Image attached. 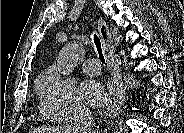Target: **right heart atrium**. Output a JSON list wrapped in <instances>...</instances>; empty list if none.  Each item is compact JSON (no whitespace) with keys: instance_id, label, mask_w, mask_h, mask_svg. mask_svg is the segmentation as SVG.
Here are the masks:
<instances>
[{"instance_id":"obj_1","label":"right heart atrium","mask_w":184,"mask_h":133,"mask_svg":"<svg viewBox=\"0 0 184 133\" xmlns=\"http://www.w3.org/2000/svg\"><path fill=\"white\" fill-rule=\"evenodd\" d=\"M38 92L42 113L52 121H69L86 112L73 83L53 69L40 78Z\"/></svg>"}]
</instances>
